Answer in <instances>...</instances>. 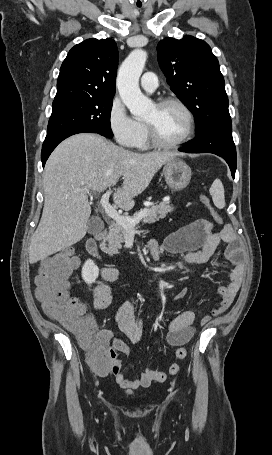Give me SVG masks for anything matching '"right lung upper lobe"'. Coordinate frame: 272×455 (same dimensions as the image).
Returning a JSON list of instances; mask_svg holds the SVG:
<instances>
[{
    "label": "right lung upper lobe",
    "instance_id": "right-lung-upper-lobe-1",
    "mask_svg": "<svg viewBox=\"0 0 272 455\" xmlns=\"http://www.w3.org/2000/svg\"><path fill=\"white\" fill-rule=\"evenodd\" d=\"M117 45L111 38L75 45L62 63L54 101L115 95Z\"/></svg>",
    "mask_w": 272,
    "mask_h": 455
}]
</instances>
